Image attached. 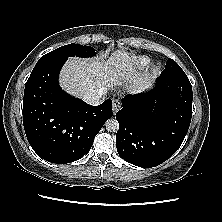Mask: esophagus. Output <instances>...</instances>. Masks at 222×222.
Returning <instances> with one entry per match:
<instances>
[{
	"label": "esophagus",
	"mask_w": 222,
	"mask_h": 222,
	"mask_svg": "<svg viewBox=\"0 0 222 222\" xmlns=\"http://www.w3.org/2000/svg\"><path fill=\"white\" fill-rule=\"evenodd\" d=\"M120 108H121V102H120V100H119V99L113 100V102H112L113 113L116 114V112H117L118 110H120Z\"/></svg>",
	"instance_id": "34e87169"
}]
</instances>
